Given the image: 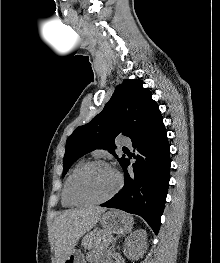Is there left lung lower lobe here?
<instances>
[{
    "label": "left lung lower lobe",
    "mask_w": 220,
    "mask_h": 263,
    "mask_svg": "<svg viewBox=\"0 0 220 263\" xmlns=\"http://www.w3.org/2000/svg\"><path fill=\"white\" fill-rule=\"evenodd\" d=\"M136 159L133 171L125 159L121 165L125 181L121 192L100 206L117 208L143 217L155 234L160 228L170 179V148L163 118L132 141Z\"/></svg>",
    "instance_id": "0a47b994"
}]
</instances>
